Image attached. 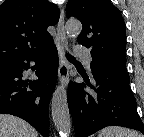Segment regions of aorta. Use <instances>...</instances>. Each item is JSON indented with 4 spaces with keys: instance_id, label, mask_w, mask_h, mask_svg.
I'll return each mask as SVG.
<instances>
[{
    "instance_id": "aorta-1",
    "label": "aorta",
    "mask_w": 144,
    "mask_h": 137,
    "mask_svg": "<svg viewBox=\"0 0 144 137\" xmlns=\"http://www.w3.org/2000/svg\"><path fill=\"white\" fill-rule=\"evenodd\" d=\"M82 30L78 20H68L65 24V31L70 38H76ZM52 118L57 131L61 137H69L71 133V118L67 101L65 86L58 85L51 100Z\"/></svg>"
}]
</instances>
